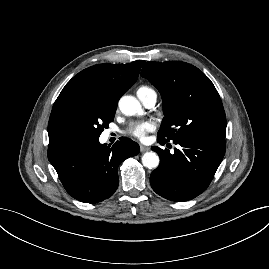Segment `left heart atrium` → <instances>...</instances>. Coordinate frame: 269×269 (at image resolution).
<instances>
[{
  "mask_svg": "<svg viewBox=\"0 0 269 269\" xmlns=\"http://www.w3.org/2000/svg\"><path fill=\"white\" fill-rule=\"evenodd\" d=\"M156 128V125L151 120H145L133 123L128 132L132 136L138 138V139H144L148 132L153 131Z\"/></svg>",
  "mask_w": 269,
  "mask_h": 269,
  "instance_id": "left-heart-atrium-1",
  "label": "left heart atrium"
}]
</instances>
